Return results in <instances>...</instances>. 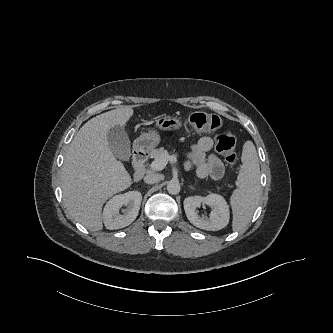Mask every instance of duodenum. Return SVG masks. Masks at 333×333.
<instances>
[{
    "instance_id": "obj_1",
    "label": "duodenum",
    "mask_w": 333,
    "mask_h": 333,
    "mask_svg": "<svg viewBox=\"0 0 333 333\" xmlns=\"http://www.w3.org/2000/svg\"><path fill=\"white\" fill-rule=\"evenodd\" d=\"M147 153L144 150L136 149L133 153V166L135 169L133 180L139 182L142 180L145 172V162Z\"/></svg>"
}]
</instances>
